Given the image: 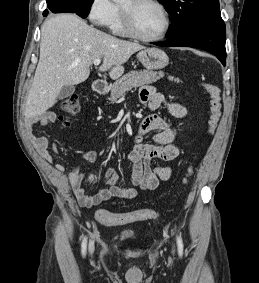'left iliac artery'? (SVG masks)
I'll return each mask as SVG.
<instances>
[{"mask_svg":"<svg viewBox=\"0 0 259 283\" xmlns=\"http://www.w3.org/2000/svg\"><path fill=\"white\" fill-rule=\"evenodd\" d=\"M176 240H177V246H178L179 255H182L183 254V242H182V239L179 236H177Z\"/></svg>","mask_w":259,"mask_h":283,"instance_id":"obj_1","label":"left iliac artery"}]
</instances>
